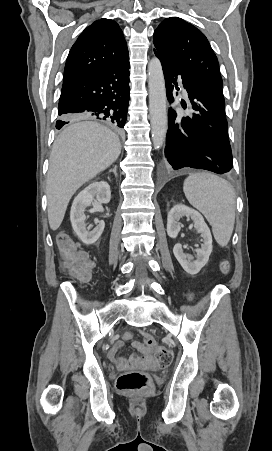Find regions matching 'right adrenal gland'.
I'll return each instance as SVG.
<instances>
[{"mask_svg":"<svg viewBox=\"0 0 272 451\" xmlns=\"http://www.w3.org/2000/svg\"><path fill=\"white\" fill-rule=\"evenodd\" d=\"M116 168H117V166H115V168H113V170H109V172H113V174H115V176H117Z\"/></svg>","mask_w":272,"mask_h":451,"instance_id":"2a0ac1e0","label":"right adrenal gland"}]
</instances>
